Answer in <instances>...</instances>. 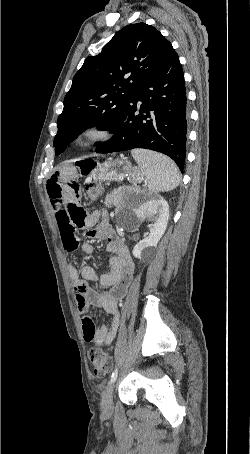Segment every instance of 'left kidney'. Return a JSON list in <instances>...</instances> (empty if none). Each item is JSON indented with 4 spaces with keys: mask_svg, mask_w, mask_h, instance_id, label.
Returning <instances> with one entry per match:
<instances>
[{
    "mask_svg": "<svg viewBox=\"0 0 250 454\" xmlns=\"http://www.w3.org/2000/svg\"><path fill=\"white\" fill-rule=\"evenodd\" d=\"M139 223L150 221V234L138 242L133 248V256L141 258L154 253L155 248L165 230L169 219V206L163 198L150 199L135 210Z\"/></svg>",
    "mask_w": 250,
    "mask_h": 454,
    "instance_id": "left-kidney-1",
    "label": "left kidney"
}]
</instances>
